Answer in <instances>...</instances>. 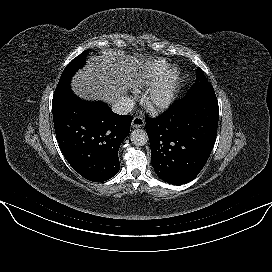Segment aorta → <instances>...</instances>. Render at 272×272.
I'll use <instances>...</instances> for the list:
<instances>
[{"mask_svg":"<svg viewBox=\"0 0 272 272\" xmlns=\"http://www.w3.org/2000/svg\"><path fill=\"white\" fill-rule=\"evenodd\" d=\"M130 140L135 146H144L148 142V135L145 130L135 129L130 134Z\"/></svg>","mask_w":272,"mask_h":272,"instance_id":"aorta-1","label":"aorta"}]
</instances>
